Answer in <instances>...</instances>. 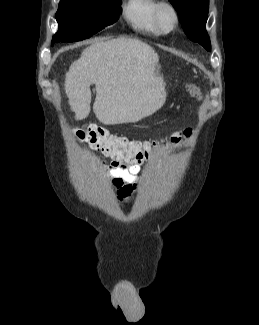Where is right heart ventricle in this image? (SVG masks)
Masks as SVG:
<instances>
[{"label": "right heart ventricle", "mask_w": 259, "mask_h": 325, "mask_svg": "<svg viewBox=\"0 0 259 325\" xmlns=\"http://www.w3.org/2000/svg\"><path fill=\"white\" fill-rule=\"evenodd\" d=\"M157 4L158 0H127L123 6L124 18L139 31L160 35L153 18Z\"/></svg>", "instance_id": "right-heart-ventricle-1"}]
</instances>
